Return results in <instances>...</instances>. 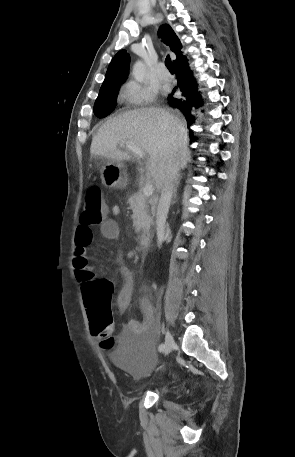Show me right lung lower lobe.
<instances>
[{
  "instance_id": "obj_1",
  "label": "right lung lower lobe",
  "mask_w": 295,
  "mask_h": 457,
  "mask_svg": "<svg viewBox=\"0 0 295 457\" xmlns=\"http://www.w3.org/2000/svg\"><path fill=\"white\" fill-rule=\"evenodd\" d=\"M186 56L182 53L177 56L174 61L178 84L174 88L181 92V98L168 96L171 106L178 108L186 117L187 124L190 126L194 122V118L190 115L192 107H200L202 105L201 97L197 92V86L193 78V74L189 69L188 63L185 61ZM191 137H193L191 133Z\"/></svg>"
}]
</instances>
